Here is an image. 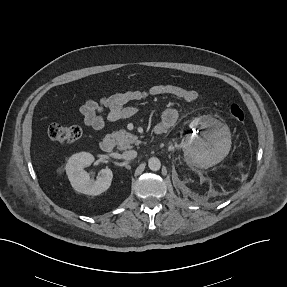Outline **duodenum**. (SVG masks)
<instances>
[{"label": "duodenum", "instance_id": "410a0bca", "mask_svg": "<svg viewBox=\"0 0 287 287\" xmlns=\"http://www.w3.org/2000/svg\"><path fill=\"white\" fill-rule=\"evenodd\" d=\"M155 134L160 135L164 132V128L162 126H158L154 129ZM100 148L103 152L109 153L114 148V141L111 137H105L100 142Z\"/></svg>", "mask_w": 287, "mask_h": 287}]
</instances>
